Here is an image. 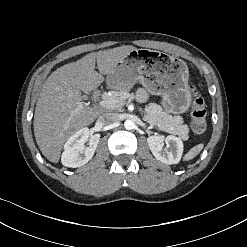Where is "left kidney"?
<instances>
[{"label": "left kidney", "mask_w": 247, "mask_h": 247, "mask_svg": "<svg viewBox=\"0 0 247 247\" xmlns=\"http://www.w3.org/2000/svg\"><path fill=\"white\" fill-rule=\"evenodd\" d=\"M164 142L166 147H164ZM148 146L154 157L164 164H177L183 154V142L180 138L169 135H152L147 138Z\"/></svg>", "instance_id": "5707ae66"}]
</instances>
